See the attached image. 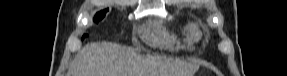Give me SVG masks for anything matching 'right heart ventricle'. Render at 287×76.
<instances>
[{
	"instance_id": "e07e8e85",
	"label": "right heart ventricle",
	"mask_w": 287,
	"mask_h": 76,
	"mask_svg": "<svg viewBox=\"0 0 287 76\" xmlns=\"http://www.w3.org/2000/svg\"><path fill=\"white\" fill-rule=\"evenodd\" d=\"M184 33L192 39H195L198 37V32L193 25H187L184 28ZM144 38L150 42V43H158L161 41L162 36L159 31L154 29H146L143 33Z\"/></svg>"
}]
</instances>
